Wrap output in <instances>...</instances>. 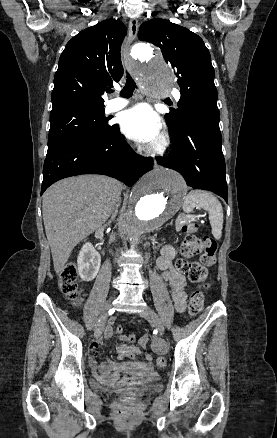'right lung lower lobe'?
<instances>
[{
	"mask_svg": "<svg viewBox=\"0 0 277 438\" xmlns=\"http://www.w3.org/2000/svg\"><path fill=\"white\" fill-rule=\"evenodd\" d=\"M152 167V159L137 155L116 124L98 138L71 141L48 150L41 194L54 182L81 174H103L132 186Z\"/></svg>",
	"mask_w": 277,
	"mask_h": 438,
	"instance_id": "1",
	"label": "right lung lower lobe"
}]
</instances>
